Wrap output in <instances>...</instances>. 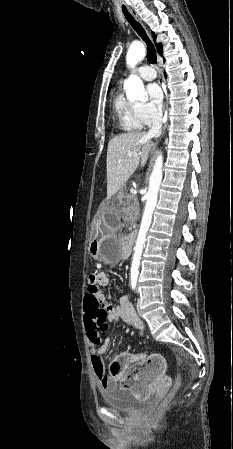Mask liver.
Listing matches in <instances>:
<instances>
[{
  "label": "liver",
  "mask_w": 233,
  "mask_h": 449,
  "mask_svg": "<svg viewBox=\"0 0 233 449\" xmlns=\"http://www.w3.org/2000/svg\"><path fill=\"white\" fill-rule=\"evenodd\" d=\"M154 144L145 132H130L112 138L106 157L107 199H111L135 172L143 167Z\"/></svg>",
  "instance_id": "obj_1"
}]
</instances>
